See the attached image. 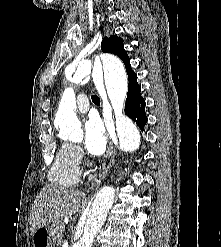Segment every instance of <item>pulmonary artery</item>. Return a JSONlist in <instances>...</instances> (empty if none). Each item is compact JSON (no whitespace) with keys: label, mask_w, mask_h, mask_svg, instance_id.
Masks as SVG:
<instances>
[{"label":"pulmonary artery","mask_w":221,"mask_h":247,"mask_svg":"<svg viewBox=\"0 0 221 247\" xmlns=\"http://www.w3.org/2000/svg\"><path fill=\"white\" fill-rule=\"evenodd\" d=\"M77 109L81 113H85L89 110V99L85 94H80L77 97Z\"/></svg>","instance_id":"pulmonary-artery-1"}]
</instances>
